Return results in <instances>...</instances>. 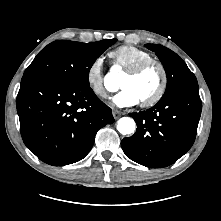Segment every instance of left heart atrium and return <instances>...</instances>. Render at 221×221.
<instances>
[{
	"instance_id": "1",
	"label": "left heart atrium",
	"mask_w": 221,
	"mask_h": 221,
	"mask_svg": "<svg viewBox=\"0 0 221 221\" xmlns=\"http://www.w3.org/2000/svg\"><path fill=\"white\" fill-rule=\"evenodd\" d=\"M114 104L119 107H129L138 104L139 98L129 88H122L121 91L114 97Z\"/></svg>"
}]
</instances>
